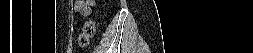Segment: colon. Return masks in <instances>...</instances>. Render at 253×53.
Listing matches in <instances>:
<instances>
[{"mask_svg": "<svg viewBox=\"0 0 253 53\" xmlns=\"http://www.w3.org/2000/svg\"><path fill=\"white\" fill-rule=\"evenodd\" d=\"M94 34H95L94 22L92 20L86 21L83 25L82 31L78 35V45L82 48L88 46Z\"/></svg>", "mask_w": 253, "mask_h": 53, "instance_id": "5ec220e1", "label": "colon"}]
</instances>
